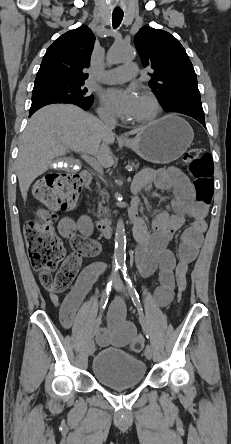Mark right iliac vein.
<instances>
[{
	"instance_id": "obj_1",
	"label": "right iliac vein",
	"mask_w": 231,
	"mask_h": 444,
	"mask_svg": "<svg viewBox=\"0 0 231 444\" xmlns=\"http://www.w3.org/2000/svg\"><path fill=\"white\" fill-rule=\"evenodd\" d=\"M94 352H95V344L93 341H91L89 344V355L92 356L94 354Z\"/></svg>"
}]
</instances>
